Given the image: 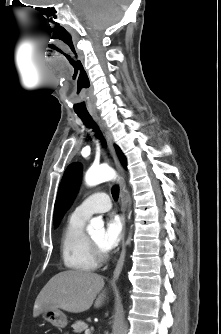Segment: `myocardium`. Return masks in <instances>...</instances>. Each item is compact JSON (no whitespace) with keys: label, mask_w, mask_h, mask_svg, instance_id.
Here are the masks:
<instances>
[{"label":"myocardium","mask_w":221,"mask_h":334,"mask_svg":"<svg viewBox=\"0 0 221 334\" xmlns=\"http://www.w3.org/2000/svg\"><path fill=\"white\" fill-rule=\"evenodd\" d=\"M88 240H89L91 250L96 260L98 261V263L105 261L107 258V255L105 251L103 250V248L100 247L98 244H96L95 241L91 237H88Z\"/></svg>","instance_id":"1"}]
</instances>
